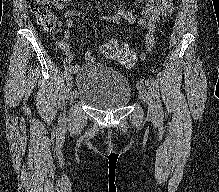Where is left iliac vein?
Masks as SVG:
<instances>
[{
    "instance_id": "4c4485c4",
    "label": "left iliac vein",
    "mask_w": 219,
    "mask_h": 192,
    "mask_svg": "<svg viewBox=\"0 0 219 192\" xmlns=\"http://www.w3.org/2000/svg\"><path fill=\"white\" fill-rule=\"evenodd\" d=\"M139 96L148 105V115L150 117H155L157 115V105L152 91L145 89V87L139 85Z\"/></svg>"
}]
</instances>
